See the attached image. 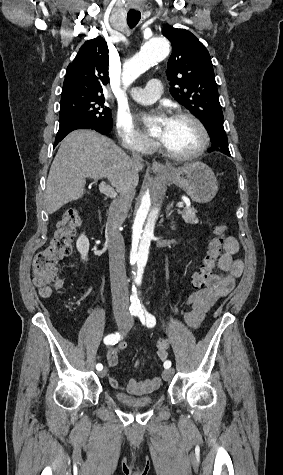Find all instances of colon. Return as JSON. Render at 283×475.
Wrapping results in <instances>:
<instances>
[{"label": "colon", "instance_id": "colon-1", "mask_svg": "<svg viewBox=\"0 0 283 475\" xmlns=\"http://www.w3.org/2000/svg\"><path fill=\"white\" fill-rule=\"evenodd\" d=\"M80 224V215L75 208L66 209L57 223L49 244L39 249L32 261V275L36 287L43 297H49L54 290L62 286L57 275L56 265L72 252V239ZM226 234L223 224L214 227L213 238L200 266L193 274L192 289L199 291L214 275V266L221 255ZM168 337H161L156 342V361L163 363L169 347Z\"/></svg>", "mask_w": 283, "mask_h": 475}]
</instances>
